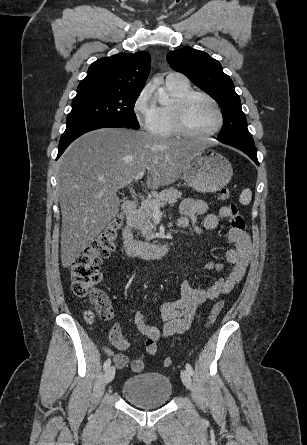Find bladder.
<instances>
[{
  "label": "bladder",
  "mask_w": 307,
  "mask_h": 445,
  "mask_svg": "<svg viewBox=\"0 0 307 445\" xmlns=\"http://www.w3.org/2000/svg\"><path fill=\"white\" fill-rule=\"evenodd\" d=\"M123 397L142 409L165 406L172 396L170 379L161 373L145 372L127 378L121 388Z\"/></svg>",
  "instance_id": "1"
}]
</instances>
